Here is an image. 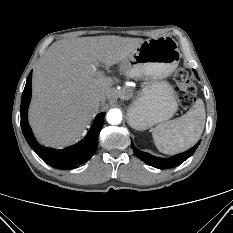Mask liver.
I'll return each instance as SVG.
<instances>
[{
	"label": "liver",
	"instance_id": "liver-1",
	"mask_svg": "<svg viewBox=\"0 0 233 233\" xmlns=\"http://www.w3.org/2000/svg\"><path fill=\"white\" fill-rule=\"evenodd\" d=\"M143 41L111 35L54 42L32 79L29 123L39 141L59 148L80 139L112 89V79L96 67L123 61Z\"/></svg>",
	"mask_w": 233,
	"mask_h": 233
}]
</instances>
